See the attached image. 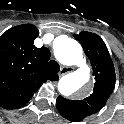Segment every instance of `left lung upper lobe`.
Segmentation results:
<instances>
[{"mask_svg":"<svg viewBox=\"0 0 124 124\" xmlns=\"http://www.w3.org/2000/svg\"><path fill=\"white\" fill-rule=\"evenodd\" d=\"M93 67L94 89L82 100H68L59 96L56 105L59 113L72 122H80L98 112L114 90L116 75L114 65L103 40L94 33L75 34Z\"/></svg>","mask_w":124,"mask_h":124,"instance_id":"5c2ea615","label":"left lung upper lobe"}]
</instances>
